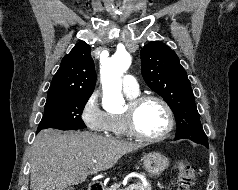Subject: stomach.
Here are the masks:
<instances>
[{
    "instance_id": "0dacf381",
    "label": "stomach",
    "mask_w": 238,
    "mask_h": 190,
    "mask_svg": "<svg viewBox=\"0 0 238 190\" xmlns=\"http://www.w3.org/2000/svg\"><path fill=\"white\" fill-rule=\"evenodd\" d=\"M143 165L149 176L158 177L169 166V160L161 153L152 152L144 155Z\"/></svg>"
}]
</instances>
